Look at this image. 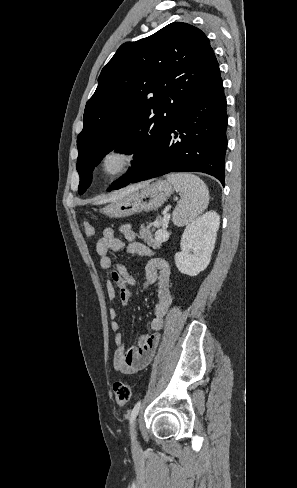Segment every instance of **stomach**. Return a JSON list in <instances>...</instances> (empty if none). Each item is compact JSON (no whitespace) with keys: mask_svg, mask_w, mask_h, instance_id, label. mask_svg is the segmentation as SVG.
<instances>
[{"mask_svg":"<svg viewBox=\"0 0 297 488\" xmlns=\"http://www.w3.org/2000/svg\"><path fill=\"white\" fill-rule=\"evenodd\" d=\"M172 184L155 181L140 190L128 193L104 206L102 213L110 218H124L136 213L159 208L171 195Z\"/></svg>","mask_w":297,"mask_h":488,"instance_id":"obj_1","label":"stomach"}]
</instances>
